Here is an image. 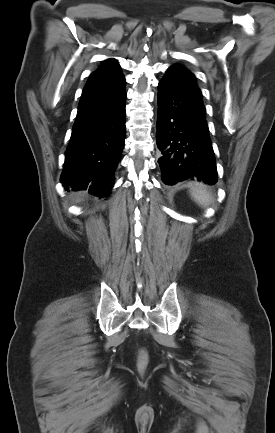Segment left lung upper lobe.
I'll return each mask as SVG.
<instances>
[{
  "label": "left lung upper lobe",
  "mask_w": 275,
  "mask_h": 433,
  "mask_svg": "<svg viewBox=\"0 0 275 433\" xmlns=\"http://www.w3.org/2000/svg\"><path fill=\"white\" fill-rule=\"evenodd\" d=\"M165 78H169L181 84L187 85L201 94V91L197 87L195 76L189 70L178 64L168 68Z\"/></svg>",
  "instance_id": "left-lung-upper-lobe-1"
}]
</instances>
